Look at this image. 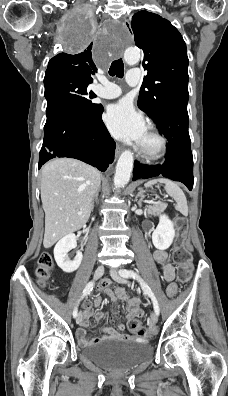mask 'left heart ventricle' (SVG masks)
Segmentation results:
<instances>
[{
    "mask_svg": "<svg viewBox=\"0 0 228 396\" xmlns=\"http://www.w3.org/2000/svg\"><path fill=\"white\" fill-rule=\"evenodd\" d=\"M140 145L143 146L144 148L152 149L156 146V140L153 136L146 133Z\"/></svg>",
    "mask_w": 228,
    "mask_h": 396,
    "instance_id": "1",
    "label": "left heart ventricle"
}]
</instances>
